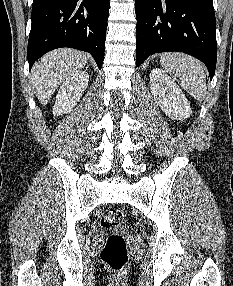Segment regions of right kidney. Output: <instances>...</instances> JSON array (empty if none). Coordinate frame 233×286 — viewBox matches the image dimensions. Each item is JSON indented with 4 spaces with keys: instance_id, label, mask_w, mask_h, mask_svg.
<instances>
[{
    "instance_id": "obj_1",
    "label": "right kidney",
    "mask_w": 233,
    "mask_h": 286,
    "mask_svg": "<svg viewBox=\"0 0 233 286\" xmlns=\"http://www.w3.org/2000/svg\"><path fill=\"white\" fill-rule=\"evenodd\" d=\"M88 81L89 75L86 71L78 70L72 73L58 91L53 114L59 116L69 113L87 89Z\"/></svg>"
}]
</instances>
